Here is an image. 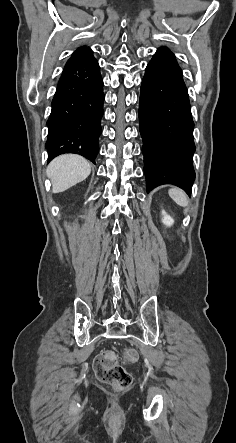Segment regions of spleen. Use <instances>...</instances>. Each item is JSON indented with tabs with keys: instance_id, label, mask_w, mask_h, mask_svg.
Here are the masks:
<instances>
[{
	"instance_id": "obj_1",
	"label": "spleen",
	"mask_w": 236,
	"mask_h": 443,
	"mask_svg": "<svg viewBox=\"0 0 236 443\" xmlns=\"http://www.w3.org/2000/svg\"><path fill=\"white\" fill-rule=\"evenodd\" d=\"M169 196L174 200L176 204L181 207L188 206V199L185 193L178 188H171L168 191Z\"/></svg>"
}]
</instances>
